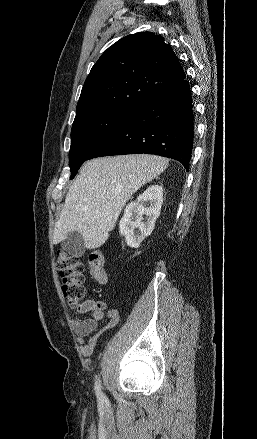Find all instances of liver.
Here are the masks:
<instances>
[{
  "label": "liver",
  "instance_id": "obj_1",
  "mask_svg": "<svg viewBox=\"0 0 257 439\" xmlns=\"http://www.w3.org/2000/svg\"><path fill=\"white\" fill-rule=\"evenodd\" d=\"M168 160L149 154L118 155L87 161L70 187L54 228L58 244L73 231L87 249L102 246L130 197L162 173Z\"/></svg>",
  "mask_w": 257,
  "mask_h": 439
}]
</instances>
